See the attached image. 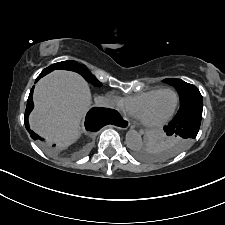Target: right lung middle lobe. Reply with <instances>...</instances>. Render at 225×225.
Instances as JSON below:
<instances>
[{"mask_svg": "<svg viewBox=\"0 0 225 225\" xmlns=\"http://www.w3.org/2000/svg\"><path fill=\"white\" fill-rule=\"evenodd\" d=\"M47 70L53 71L55 69H64L71 70L81 74L86 81L92 83L95 86L100 87L102 84L99 82L96 77L87 69V67L83 64H79L75 61H62L55 64L50 65L46 68Z\"/></svg>", "mask_w": 225, "mask_h": 225, "instance_id": "right-lung-middle-lobe-1", "label": "right lung middle lobe"}]
</instances>
